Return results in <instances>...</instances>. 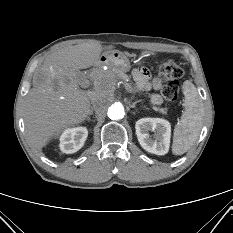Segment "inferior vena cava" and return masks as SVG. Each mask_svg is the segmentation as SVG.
Segmentation results:
<instances>
[{
    "instance_id": "inferior-vena-cava-1",
    "label": "inferior vena cava",
    "mask_w": 233,
    "mask_h": 233,
    "mask_svg": "<svg viewBox=\"0 0 233 233\" xmlns=\"http://www.w3.org/2000/svg\"><path fill=\"white\" fill-rule=\"evenodd\" d=\"M87 95H88L89 99L91 100V102L93 104H95L98 101L99 97H100V93L95 92V91H90V92L87 93Z\"/></svg>"
}]
</instances>
